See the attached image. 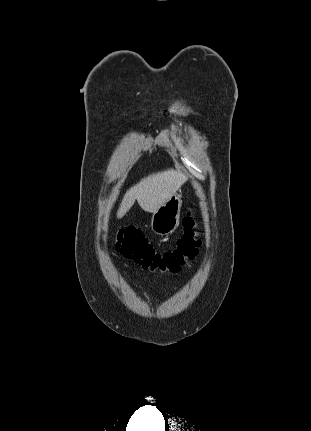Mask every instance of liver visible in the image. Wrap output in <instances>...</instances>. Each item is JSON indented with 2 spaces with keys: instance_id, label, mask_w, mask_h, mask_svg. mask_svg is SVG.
<instances>
[{
  "instance_id": "obj_1",
  "label": "liver",
  "mask_w": 311,
  "mask_h": 431,
  "mask_svg": "<svg viewBox=\"0 0 311 431\" xmlns=\"http://www.w3.org/2000/svg\"><path fill=\"white\" fill-rule=\"evenodd\" d=\"M186 178L183 172L173 168L145 176L132 188L126 190L117 210V219L126 216L135 202H138L144 212H150V214L157 212L171 196L177 194L186 182Z\"/></svg>"
}]
</instances>
